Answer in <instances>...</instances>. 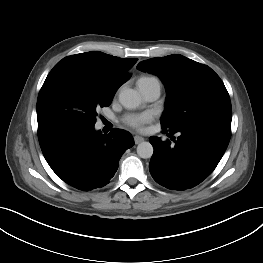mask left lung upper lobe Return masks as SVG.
Segmentation results:
<instances>
[{
    "label": "left lung upper lobe",
    "mask_w": 263,
    "mask_h": 263,
    "mask_svg": "<svg viewBox=\"0 0 263 263\" xmlns=\"http://www.w3.org/2000/svg\"><path fill=\"white\" fill-rule=\"evenodd\" d=\"M137 69L159 76L165 84L167 97L162 128L175 131L205 119L231 125L229 94L210 67L174 54L144 60Z\"/></svg>",
    "instance_id": "5c2ea615"
}]
</instances>
